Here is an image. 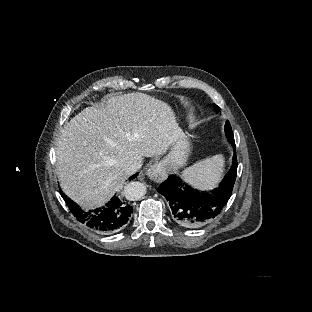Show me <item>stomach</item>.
I'll use <instances>...</instances> for the list:
<instances>
[{"label":"stomach","mask_w":312,"mask_h":312,"mask_svg":"<svg viewBox=\"0 0 312 312\" xmlns=\"http://www.w3.org/2000/svg\"><path fill=\"white\" fill-rule=\"evenodd\" d=\"M192 144L190 139L181 132L171 145L170 152L159 162L160 166L168 171H176L186 165Z\"/></svg>","instance_id":"0dacf381"}]
</instances>
